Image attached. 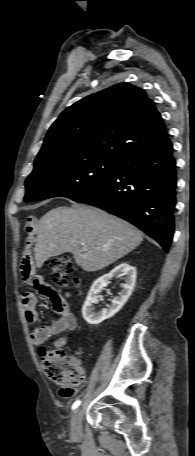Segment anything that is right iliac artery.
I'll return each mask as SVG.
<instances>
[{"label":"right iliac artery","mask_w":195,"mask_h":456,"mask_svg":"<svg viewBox=\"0 0 195 456\" xmlns=\"http://www.w3.org/2000/svg\"><path fill=\"white\" fill-rule=\"evenodd\" d=\"M80 404H81V401H79V400H78V401H75V402L73 403V405H72V409L75 410L76 408L79 407Z\"/></svg>","instance_id":"1"}]
</instances>
